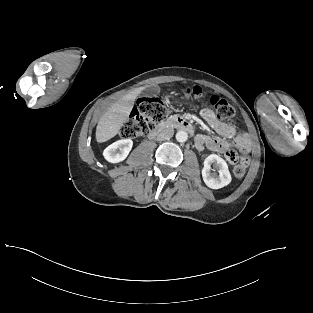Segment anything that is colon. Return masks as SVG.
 Here are the masks:
<instances>
[{"label": "colon", "instance_id": "5ec220e1", "mask_svg": "<svg viewBox=\"0 0 313 313\" xmlns=\"http://www.w3.org/2000/svg\"><path fill=\"white\" fill-rule=\"evenodd\" d=\"M187 98L201 99L207 96L200 86H193L184 92ZM211 106L215 109L219 119H230L234 116L233 106L218 95L209 97ZM168 115V108L163 101L158 98H141L133 108L130 118L120 128L121 138L130 139L145 135L156 129L159 123L164 121ZM226 159L232 163L233 174L240 178L245 174L248 164L246 156H239L235 151H230L225 155Z\"/></svg>", "mask_w": 313, "mask_h": 313}]
</instances>
